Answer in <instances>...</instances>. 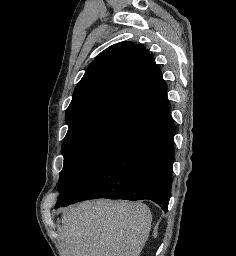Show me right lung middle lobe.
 <instances>
[{
  "label": "right lung middle lobe",
  "mask_w": 236,
  "mask_h": 256,
  "mask_svg": "<svg viewBox=\"0 0 236 256\" xmlns=\"http://www.w3.org/2000/svg\"><path fill=\"white\" fill-rule=\"evenodd\" d=\"M149 123L127 113H109L74 124L62 143L64 165L57 202L67 200L108 156Z\"/></svg>",
  "instance_id": "obj_1"
}]
</instances>
